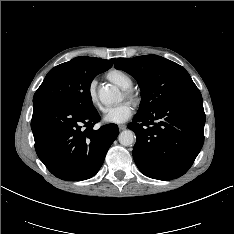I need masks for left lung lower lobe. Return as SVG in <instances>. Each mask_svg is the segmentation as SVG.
Instances as JSON below:
<instances>
[{"label": "left lung lower lobe", "instance_id": "0a47b994", "mask_svg": "<svg viewBox=\"0 0 234 234\" xmlns=\"http://www.w3.org/2000/svg\"><path fill=\"white\" fill-rule=\"evenodd\" d=\"M205 120L198 88L136 115L128 128L136 134L133 158L139 170L159 180L184 175L203 146Z\"/></svg>", "mask_w": 234, "mask_h": 234}]
</instances>
